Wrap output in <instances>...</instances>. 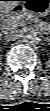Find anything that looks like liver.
Returning a JSON list of instances; mask_svg holds the SVG:
<instances>
[{"label":"liver","mask_w":50,"mask_h":111,"mask_svg":"<svg viewBox=\"0 0 50 111\" xmlns=\"http://www.w3.org/2000/svg\"><path fill=\"white\" fill-rule=\"evenodd\" d=\"M19 4V1L11 0V1H1L0 2V11L1 13H8L12 9H14Z\"/></svg>","instance_id":"1"}]
</instances>
